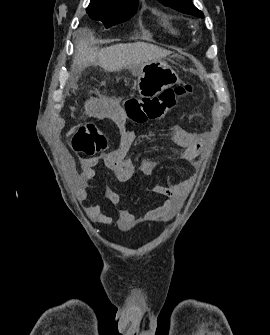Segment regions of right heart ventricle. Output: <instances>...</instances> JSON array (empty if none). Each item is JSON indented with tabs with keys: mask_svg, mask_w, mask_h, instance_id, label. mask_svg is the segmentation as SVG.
Returning a JSON list of instances; mask_svg holds the SVG:
<instances>
[{
	"mask_svg": "<svg viewBox=\"0 0 270 335\" xmlns=\"http://www.w3.org/2000/svg\"><path fill=\"white\" fill-rule=\"evenodd\" d=\"M162 24H163V26H164V28L167 32H169L170 34H173V35L176 34V31L169 25L166 15L162 16Z\"/></svg>",
	"mask_w": 270,
	"mask_h": 335,
	"instance_id": "1",
	"label": "right heart ventricle"
}]
</instances>
